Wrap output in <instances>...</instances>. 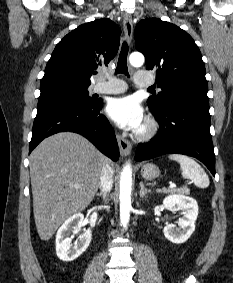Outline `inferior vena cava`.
Instances as JSON below:
<instances>
[{
	"label": "inferior vena cava",
	"mask_w": 233,
	"mask_h": 283,
	"mask_svg": "<svg viewBox=\"0 0 233 283\" xmlns=\"http://www.w3.org/2000/svg\"><path fill=\"white\" fill-rule=\"evenodd\" d=\"M113 175H114V171L110 166L109 162L106 160L103 164L101 179H100V189H101V193L104 196H106V194L110 192L112 189Z\"/></svg>",
	"instance_id": "602c4592"
}]
</instances>
